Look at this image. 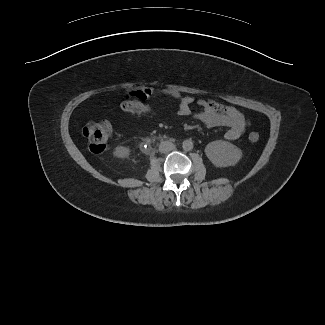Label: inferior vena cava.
<instances>
[{"instance_id":"obj_1","label":"inferior vena cava","mask_w":325,"mask_h":325,"mask_svg":"<svg viewBox=\"0 0 325 325\" xmlns=\"http://www.w3.org/2000/svg\"><path fill=\"white\" fill-rule=\"evenodd\" d=\"M175 149V145L172 142L164 141L159 145V151L161 153H169Z\"/></svg>"}]
</instances>
